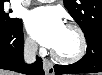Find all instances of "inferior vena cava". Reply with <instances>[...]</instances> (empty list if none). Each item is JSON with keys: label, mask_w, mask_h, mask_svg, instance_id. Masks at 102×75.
Listing matches in <instances>:
<instances>
[{"label": "inferior vena cava", "mask_w": 102, "mask_h": 75, "mask_svg": "<svg viewBox=\"0 0 102 75\" xmlns=\"http://www.w3.org/2000/svg\"><path fill=\"white\" fill-rule=\"evenodd\" d=\"M37 43L27 39L24 45V60L26 63H33L36 60Z\"/></svg>", "instance_id": "602c4592"}]
</instances>
